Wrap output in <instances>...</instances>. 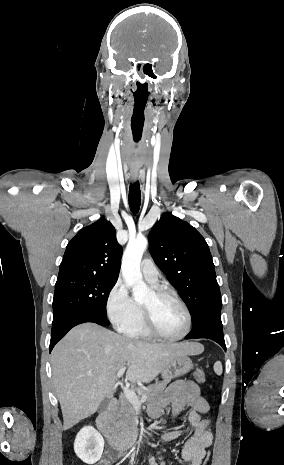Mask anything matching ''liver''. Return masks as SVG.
Returning <instances> with one entry per match:
<instances>
[{"instance_id": "liver-1", "label": "liver", "mask_w": 284, "mask_h": 465, "mask_svg": "<svg viewBox=\"0 0 284 465\" xmlns=\"http://www.w3.org/2000/svg\"><path fill=\"white\" fill-rule=\"evenodd\" d=\"M200 343H145L126 339L95 323L74 327L51 355L53 383L63 415V431L94 415L112 397L116 373L128 367L130 383H150L179 355H201ZM93 375V377H88Z\"/></svg>"}]
</instances>
